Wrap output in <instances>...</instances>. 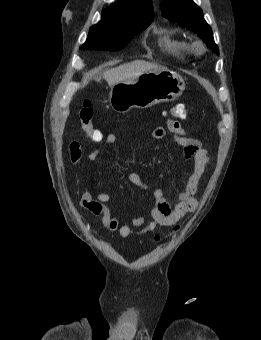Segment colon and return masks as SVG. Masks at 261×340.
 Returning a JSON list of instances; mask_svg holds the SVG:
<instances>
[{
    "label": "colon",
    "instance_id": "1",
    "mask_svg": "<svg viewBox=\"0 0 261 340\" xmlns=\"http://www.w3.org/2000/svg\"><path fill=\"white\" fill-rule=\"evenodd\" d=\"M169 114L175 118L184 119L187 116V109L184 104L179 103L171 107V109L169 110ZM94 115H95V112H94V108L91 105V103L84 102L79 110V118H80L82 128L90 140L94 142H99L102 140L103 135L93 125ZM155 240L159 241L160 236L159 235L155 236Z\"/></svg>",
    "mask_w": 261,
    "mask_h": 340
}]
</instances>
